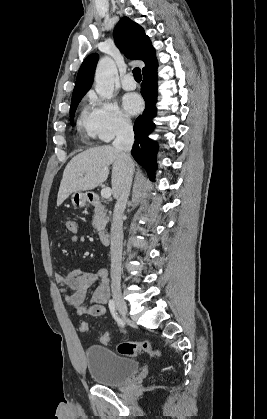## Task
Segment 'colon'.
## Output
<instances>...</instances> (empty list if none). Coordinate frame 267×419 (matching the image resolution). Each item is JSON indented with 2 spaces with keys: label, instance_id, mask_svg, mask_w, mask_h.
I'll use <instances>...</instances> for the list:
<instances>
[{
  "label": "colon",
  "instance_id": "1",
  "mask_svg": "<svg viewBox=\"0 0 267 419\" xmlns=\"http://www.w3.org/2000/svg\"><path fill=\"white\" fill-rule=\"evenodd\" d=\"M66 229L70 233V241L72 243H76L79 239V224L75 220H69L66 222ZM89 326L87 322H82L79 326V330L81 333L88 332ZM101 343L102 344H109L110 342V334L105 332L101 336ZM118 352L121 355L133 357L139 354L140 352H145L150 354L152 357H159L160 351L156 349L149 341H124L118 345Z\"/></svg>",
  "mask_w": 267,
  "mask_h": 419
}]
</instances>
